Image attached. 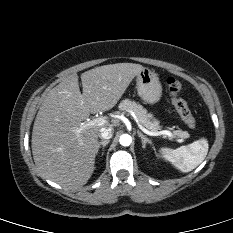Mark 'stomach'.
<instances>
[{"label":"stomach","mask_w":233,"mask_h":233,"mask_svg":"<svg viewBox=\"0 0 233 233\" xmlns=\"http://www.w3.org/2000/svg\"><path fill=\"white\" fill-rule=\"evenodd\" d=\"M136 88L139 97L147 104L157 103L162 96V86L156 73L144 68L136 76Z\"/></svg>","instance_id":"1"}]
</instances>
